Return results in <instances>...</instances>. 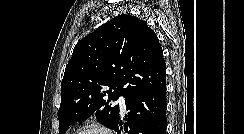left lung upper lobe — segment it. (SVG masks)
<instances>
[{
	"label": "left lung upper lobe",
	"instance_id": "left-lung-upper-lobe-1",
	"mask_svg": "<svg viewBox=\"0 0 244 134\" xmlns=\"http://www.w3.org/2000/svg\"><path fill=\"white\" fill-rule=\"evenodd\" d=\"M165 84L166 63L155 32L139 18L118 15L73 50L61 83L59 134L93 113L111 128L119 115V105L111 101Z\"/></svg>",
	"mask_w": 244,
	"mask_h": 134
}]
</instances>
